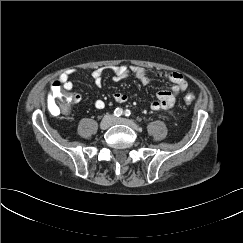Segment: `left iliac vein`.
Here are the masks:
<instances>
[{
	"mask_svg": "<svg viewBox=\"0 0 243 243\" xmlns=\"http://www.w3.org/2000/svg\"><path fill=\"white\" fill-rule=\"evenodd\" d=\"M112 124H124L136 131L140 130L139 126L135 122L126 118H114Z\"/></svg>",
	"mask_w": 243,
	"mask_h": 243,
	"instance_id": "1",
	"label": "left iliac vein"
}]
</instances>
